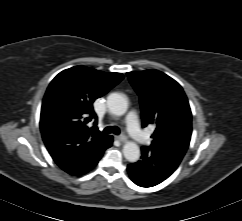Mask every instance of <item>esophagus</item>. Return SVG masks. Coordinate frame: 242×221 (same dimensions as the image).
Returning <instances> with one entry per match:
<instances>
[{
	"instance_id": "34e87169",
	"label": "esophagus",
	"mask_w": 242,
	"mask_h": 221,
	"mask_svg": "<svg viewBox=\"0 0 242 221\" xmlns=\"http://www.w3.org/2000/svg\"><path fill=\"white\" fill-rule=\"evenodd\" d=\"M116 139L119 140L120 142H126L127 137L125 135H119V136H116Z\"/></svg>"
}]
</instances>
